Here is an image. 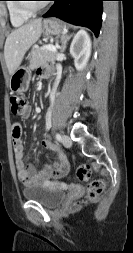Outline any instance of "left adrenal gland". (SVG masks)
<instances>
[{
	"label": "left adrenal gland",
	"instance_id": "a2214340",
	"mask_svg": "<svg viewBox=\"0 0 133 253\" xmlns=\"http://www.w3.org/2000/svg\"><path fill=\"white\" fill-rule=\"evenodd\" d=\"M73 36V33L72 34H67V35H63L61 37V42H62V47H61V52H64L65 49H66V45H67V42L70 40V38Z\"/></svg>",
	"mask_w": 133,
	"mask_h": 253
}]
</instances>
